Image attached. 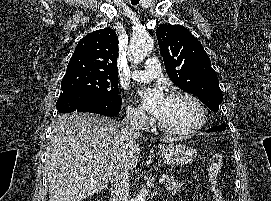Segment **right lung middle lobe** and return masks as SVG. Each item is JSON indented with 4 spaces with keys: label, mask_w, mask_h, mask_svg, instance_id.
I'll list each match as a JSON object with an SVG mask.
<instances>
[{
    "label": "right lung middle lobe",
    "mask_w": 271,
    "mask_h": 201,
    "mask_svg": "<svg viewBox=\"0 0 271 201\" xmlns=\"http://www.w3.org/2000/svg\"><path fill=\"white\" fill-rule=\"evenodd\" d=\"M60 96L78 95L93 99H115L118 94V75L83 70L69 71L61 82Z\"/></svg>",
    "instance_id": "dd1d6c3e"
}]
</instances>
